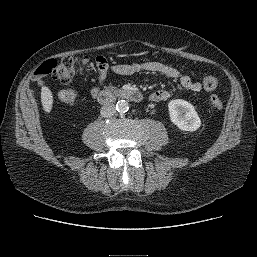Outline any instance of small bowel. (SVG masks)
Listing matches in <instances>:
<instances>
[{"mask_svg":"<svg viewBox=\"0 0 257 257\" xmlns=\"http://www.w3.org/2000/svg\"><path fill=\"white\" fill-rule=\"evenodd\" d=\"M97 66H98V83L99 86L103 84L107 77V69L108 63L107 61L100 57L97 59ZM111 69L119 74V75H132L139 71H147L150 73L161 74L170 79L178 80L180 85L184 89L191 90L193 92H199L202 89V84L198 81H193L187 75H181L180 72L171 66L160 62L154 61H146L140 63H131V64H114L111 66ZM99 87L95 88L93 93L96 94ZM170 94L168 91L160 89L154 91L150 95V100L153 102H161L165 101L169 98Z\"/></svg>","mask_w":257,"mask_h":257,"instance_id":"c3829d8e","label":"small bowel"}]
</instances>
